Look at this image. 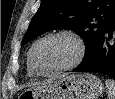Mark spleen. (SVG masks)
I'll return each instance as SVG.
<instances>
[{
	"label": "spleen",
	"instance_id": "spleen-1",
	"mask_svg": "<svg viewBox=\"0 0 115 99\" xmlns=\"http://www.w3.org/2000/svg\"><path fill=\"white\" fill-rule=\"evenodd\" d=\"M109 99H115V81L112 79H107L105 81Z\"/></svg>",
	"mask_w": 115,
	"mask_h": 99
}]
</instances>
